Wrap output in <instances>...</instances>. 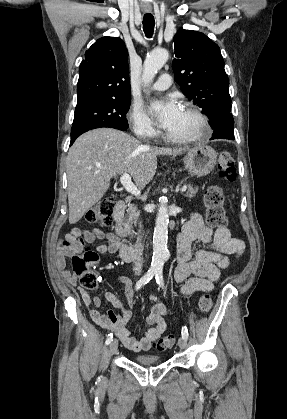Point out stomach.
Masks as SVG:
<instances>
[{
  "mask_svg": "<svg viewBox=\"0 0 287 419\" xmlns=\"http://www.w3.org/2000/svg\"><path fill=\"white\" fill-rule=\"evenodd\" d=\"M188 171L197 177L208 175L216 165V151L207 145L196 146L189 151L183 158Z\"/></svg>",
  "mask_w": 287,
  "mask_h": 419,
  "instance_id": "0dacf381",
  "label": "stomach"
}]
</instances>
